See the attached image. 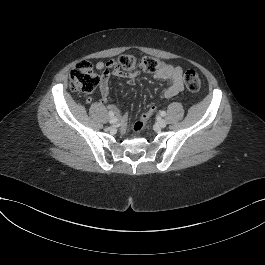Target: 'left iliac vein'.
Returning <instances> with one entry per match:
<instances>
[{"mask_svg":"<svg viewBox=\"0 0 265 265\" xmlns=\"http://www.w3.org/2000/svg\"><path fill=\"white\" fill-rule=\"evenodd\" d=\"M166 121L164 120V119H158V121H157V125H158V127H160V128H164V127H166Z\"/></svg>","mask_w":265,"mask_h":265,"instance_id":"obj_1","label":"left iliac vein"}]
</instances>
